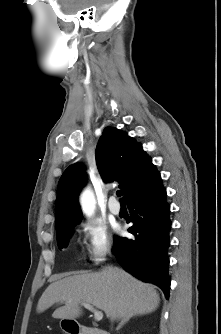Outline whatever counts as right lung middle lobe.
Instances as JSON below:
<instances>
[{
  "instance_id": "dd1d6c3e",
  "label": "right lung middle lobe",
  "mask_w": 221,
  "mask_h": 334,
  "mask_svg": "<svg viewBox=\"0 0 221 334\" xmlns=\"http://www.w3.org/2000/svg\"><path fill=\"white\" fill-rule=\"evenodd\" d=\"M73 228L74 225L68 226L57 234V243L60 248L67 246L69 238L72 235Z\"/></svg>"
}]
</instances>
